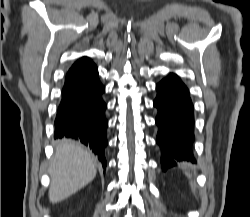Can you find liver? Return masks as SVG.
<instances>
[{
	"mask_svg": "<svg viewBox=\"0 0 250 217\" xmlns=\"http://www.w3.org/2000/svg\"><path fill=\"white\" fill-rule=\"evenodd\" d=\"M49 199L58 203L89 184L96 176V163L90 153L71 140L55 144V155L49 168Z\"/></svg>",
	"mask_w": 250,
	"mask_h": 217,
	"instance_id": "obj_1",
	"label": "liver"
}]
</instances>
